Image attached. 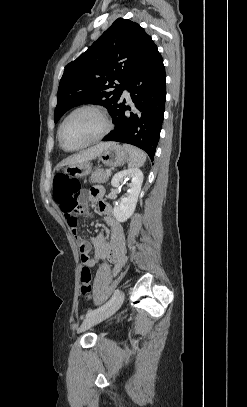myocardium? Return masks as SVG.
Segmentation results:
<instances>
[{
	"label": "myocardium",
	"mask_w": 247,
	"mask_h": 407,
	"mask_svg": "<svg viewBox=\"0 0 247 407\" xmlns=\"http://www.w3.org/2000/svg\"><path fill=\"white\" fill-rule=\"evenodd\" d=\"M81 111H90V112H93V113L97 114V115L100 117V119L102 120V122H103V124H104V128H103L102 132H101L98 136H96L95 138L91 139V140L88 141L87 143H85V144H83V145H81V146H79V147L72 148V149L66 148V147L63 145L62 140H61L62 128H63L64 124L66 123V121H67L71 116H73L74 114H76V113H78V112H81ZM111 129H112V123H111L110 119L108 118L106 112H105L102 108L97 107V106H93V105H83V106H79V107L73 109V110H72L68 115H66V117L61 121V123H60V125H59V127H58V131H57V139H58V143H59L60 147H61L64 151H67V152H75V151L82 150V149H84V148H86V147H88V146H90V145H93V144L99 142L100 140H102L103 138H105V137L110 133Z\"/></svg>",
	"instance_id": "obj_1"
}]
</instances>
